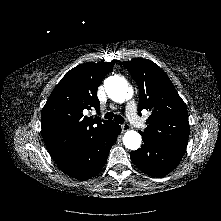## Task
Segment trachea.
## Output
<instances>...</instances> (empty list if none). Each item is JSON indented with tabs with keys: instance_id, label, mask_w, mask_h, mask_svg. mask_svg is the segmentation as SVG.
Wrapping results in <instances>:
<instances>
[{
	"instance_id": "1",
	"label": "trachea",
	"mask_w": 221,
	"mask_h": 221,
	"mask_svg": "<svg viewBox=\"0 0 221 221\" xmlns=\"http://www.w3.org/2000/svg\"><path fill=\"white\" fill-rule=\"evenodd\" d=\"M106 119H114L119 124L124 123V118L120 115L114 114L113 112H107L104 116Z\"/></svg>"
}]
</instances>
